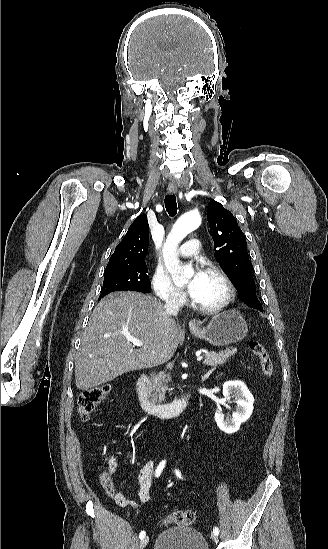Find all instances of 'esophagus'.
Returning <instances> with one entry per match:
<instances>
[{"instance_id": "34e87169", "label": "esophagus", "mask_w": 328, "mask_h": 549, "mask_svg": "<svg viewBox=\"0 0 328 549\" xmlns=\"http://www.w3.org/2000/svg\"><path fill=\"white\" fill-rule=\"evenodd\" d=\"M167 190H168V192H169L170 194H174V193L177 192V185L174 184V183H172V182H170V183L168 184ZM189 326H190V327H195V326H196L195 321H194V320H190V321H189Z\"/></svg>"}]
</instances>
